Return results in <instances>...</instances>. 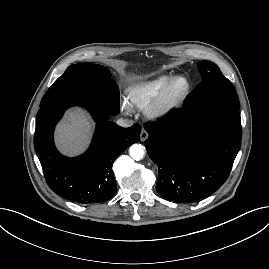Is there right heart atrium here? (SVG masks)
<instances>
[{
	"label": "right heart atrium",
	"instance_id": "obj_1",
	"mask_svg": "<svg viewBox=\"0 0 269 269\" xmlns=\"http://www.w3.org/2000/svg\"><path fill=\"white\" fill-rule=\"evenodd\" d=\"M122 107L124 108V110L128 111L129 110V106L126 102H123Z\"/></svg>",
	"mask_w": 269,
	"mask_h": 269
}]
</instances>
